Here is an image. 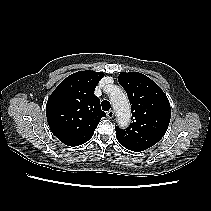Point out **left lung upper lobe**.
Returning a JSON list of instances; mask_svg holds the SVG:
<instances>
[{
	"label": "left lung upper lobe",
	"instance_id": "left-lung-upper-lobe-1",
	"mask_svg": "<svg viewBox=\"0 0 211 211\" xmlns=\"http://www.w3.org/2000/svg\"><path fill=\"white\" fill-rule=\"evenodd\" d=\"M118 81L128 95L133 122L126 130L115 128L117 139L131 151H144L164 136L171 117L170 103L162 89L141 73L122 72Z\"/></svg>",
	"mask_w": 211,
	"mask_h": 211
}]
</instances>
